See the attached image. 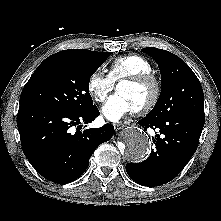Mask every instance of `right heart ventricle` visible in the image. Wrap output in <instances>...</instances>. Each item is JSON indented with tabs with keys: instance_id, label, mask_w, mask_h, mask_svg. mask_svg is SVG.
<instances>
[{
	"instance_id": "1",
	"label": "right heart ventricle",
	"mask_w": 221,
	"mask_h": 221,
	"mask_svg": "<svg viewBox=\"0 0 221 221\" xmlns=\"http://www.w3.org/2000/svg\"><path fill=\"white\" fill-rule=\"evenodd\" d=\"M151 63L143 56L128 54L115 58L108 70L109 77L115 82L137 74L152 73Z\"/></svg>"
}]
</instances>
